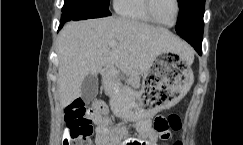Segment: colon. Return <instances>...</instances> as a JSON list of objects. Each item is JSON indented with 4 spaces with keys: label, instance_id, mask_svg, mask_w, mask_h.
I'll return each mask as SVG.
<instances>
[{
    "label": "colon",
    "instance_id": "5ec220e1",
    "mask_svg": "<svg viewBox=\"0 0 243 145\" xmlns=\"http://www.w3.org/2000/svg\"><path fill=\"white\" fill-rule=\"evenodd\" d=\"M93 108H88L85 103L77 99L65 109V120L71 136V145H91V137L94 132L105 134L108 130L106 124L94 128ZM182 125L181 118L177 114H171L167 118L158 116L154 120V129L162 137L170 135V129L178 131ZM174 145H182L181 141Z\"/></svg>",
    "mask_w": 243,
    "mask_h": 145
}]
</instances>
